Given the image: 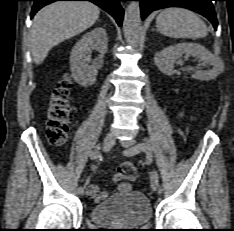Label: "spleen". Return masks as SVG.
I'll use <instances>...</instances> for the list:
<instances>
[{
  "mask_svg": "<svg viewBox=\"0 0 234 231\" xmlns=\"http://www.w3.org/2000/svg\"><path fill=\"white\" fill-rule=\"evenodd\" d=\"M158 31L172 38H204L207 36V27L202 19L194 12L177 7L161 11L156 18Z\"/></svg>",
  "mask_w": 234,
  "mask_h": 231,
  "instance_id": "1",
  "label": "spleen"
}]
</instances>
